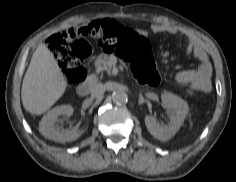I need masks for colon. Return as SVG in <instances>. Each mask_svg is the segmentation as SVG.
<instances>
[{"label": "colon", "instance_id": "colon-1", "mask_svg": "<svg viewBox=\"0 0 236 182\" xmlns=\"http://www.w3.org/2000/svg\"><path fill=\"white\" fill-rule=\"evenodd\" d=\"M87 38L96 39L101 46L127 60L140 83L149 86L159 83L160 74L147 39L114 20L105 19L48 38V48L70 86L79 85L86 77L84 61L92 52Z\"/></svg>", "mask_w": 236, "mask_h": 182}]
</instances>
